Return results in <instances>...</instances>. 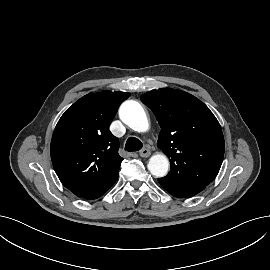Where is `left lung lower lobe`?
Segmentation results:
<instances>
[{
    "label": "left lung lower lobe",
    "mask_w": 270,
    "mask_h": 270,
    "mask_svg": "<svg viewBox=\"0 0 270 270\" xmlns=\"http://www.w3.org/2000/svg\"><path fill=\"white\" fill-rule=\"evenodd\" d=\"M161 185L170 194L179 198L191 197L201 192L205 188V186H201V185H193V186H187V187H170V186H165L163 184Z\"/></svg>",
    "instance_id": "left-lung-lower-lobe-1"
}]
</instances>
